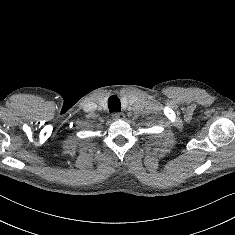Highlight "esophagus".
Segmentation results:
<instances>
[{
	"instance_id": "1",
	"label": "esophagus",
	"mask_w": 235,
	"mask_h": 235,
	"mask_svg": "<svg viewBox=\"0 0 235 235\" xmlns=\"http://www.w3.org/2000/svg\"><path fill=\"white\" fill-rule=\"evenodd\" d=\"M112 118H113V120L125 119V115L120 112H114L112 114Z\"/></svg>"
}]
</instances>
